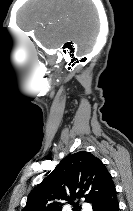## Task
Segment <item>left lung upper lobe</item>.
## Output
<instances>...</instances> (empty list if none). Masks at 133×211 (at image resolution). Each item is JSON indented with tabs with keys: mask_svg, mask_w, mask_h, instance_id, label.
<instances>
[{
	"mask_svg": "<svg viewBox=\"0 0 133 211\" xmlns=\"http://www.w3.org/2000/svg\"><path fill=\"white\" fill-rule=\"evenodd\" d=\"M49 173V172H48ZM114 186L111 174L97 157L80 151L66 156L28 196L22 211H61L65 203L81 208L73 200L93 204Z\"/></svg>",
	"mask_w": 133,
	"mask_h": 211,
	"instance_id": "left-lung-upper-lobe-1",
	"label": "left lung upper lobe"
}]
</instances>
